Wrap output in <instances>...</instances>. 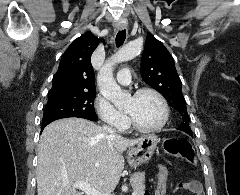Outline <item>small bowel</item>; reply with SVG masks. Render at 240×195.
<instances>
[{"label": "small bowel", "mask_w": 240, "mask_h": 195, "mask_svg": "<svg viewBox=\"0 0 240 195\" xmlns=\"http://www.w3.org/2000/svg\"><path fill=\"white\" fill-rule=\"evenodd\" d=\"M176 190H185V186H177Z\"/></svg>", "instance_id": "small-bowel-1"}]
</instances>
